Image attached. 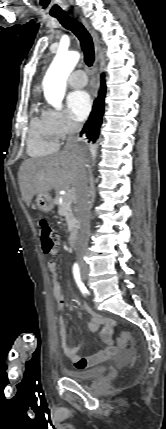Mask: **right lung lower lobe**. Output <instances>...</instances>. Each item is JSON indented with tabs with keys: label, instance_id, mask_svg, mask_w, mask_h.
<instances>
[{
	"label": "right lung lower lobe",
	"instance_id": "1",
	"mask_svg": "<svg viewBox=\"0 0 166 429\" xmlns=\"http://www.w3.org/2000/svg\"><path fill=\"white\" fill-rule=\"evenodd\" d=\"M98 97L94 101L93 110L85 123L81 135L85 136L89 142H95L99 136V130L102 124V116L104 112V98L106 94V85L104 74L101 77V86L98 92Z\"/></svg>",
	"mask_w": 166,
	"mask_h": 429
}]
</instances>
